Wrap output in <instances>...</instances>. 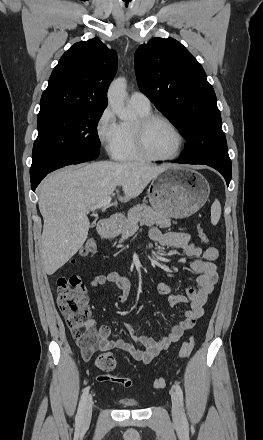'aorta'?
Returning a JSON list of instances; mask_svg holds the SVG:
<instances>
[{"instance_id":"1","label":"aorta","mask_w":263,"mask_h":440,"mask_svg":"<svg viewBox=\"0 0 263 440\" xmlns=\"http://www.w3.org/2000/svg\"><path fill=\"white\" fill-rule=\"evenodd\" d=\"M127 81L124 77L115 79L108 89L107 98L109 105L113 108L118 118L124 122H131L135 119V113L126 107Z\"/></svg>"}]
</instances>
